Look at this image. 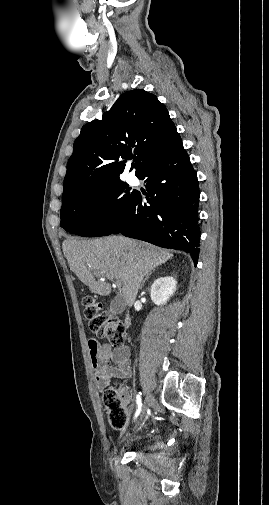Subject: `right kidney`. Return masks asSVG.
Segmentation results:
<instances>
[{
    "mask_svg": "<svg viewBox=\"0 0 269 505\" xmlns=\"http://www.w3.org/2000/svg\"><path fill=\"white\" fill-rule=\"evenodd\" d=\"M176 280L173 277H160L151 286V300L156 305H164L176 290Z\"/></svg>",
    "mask_w": 269,
    "mask_h": 505,
    "instance_id": "ca27d5eb",
    "label": "right kidney"
}]
</instances>
